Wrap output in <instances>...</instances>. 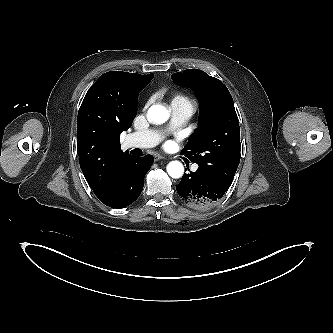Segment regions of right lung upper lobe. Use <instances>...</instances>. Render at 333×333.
I'll return each mask as SVG.
<instances>
[{
  "instance_id": "obj_1",
  "label": "right lung upper lobe",
  "mask_w": 333,
  "mask_h": 333,
  "mask_svg": "<svg viewBox=\"0 0 333 333\" xmlns=\"http://www.w3.org/2000/svg\"><path fill=\"white\" fill-rule=\"evenodd\" d=\"M153 77L107 72L85 95L77 120L79 162L98 198L112 190L122 162L130 155L120 149V134L130 128L138 94Z\"/></svg>"
}]
</instances>
